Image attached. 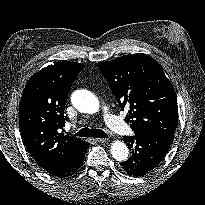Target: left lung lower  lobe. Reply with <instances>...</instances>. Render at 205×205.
Segmentation results:
<instances>
[{"mask_svg": "<svg viewBox=\"0 0 205 205\" xmlns=\"http://www.w3.org/2000/svg\"><path fill=\"white\" fill-rule=\"evenodd\" d=\"M173 138L172 132L125 136L124 141L132 150V156L121 163L123 170L133 176L147 174L162 161Z\"/></svg>", "mask_w": 205, "mask_h": 205, "instance_id": "0a47b994", "label": "left lung lower lobe"}]
</instances>
